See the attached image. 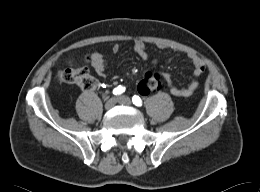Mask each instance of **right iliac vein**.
Returning a JSON list of instances; mask_svg holds the SVG:
<instances>
[{
  "instance_id": "63e3f726",
  "label": "right iliac vein",
  "mask_w": 260,
  "mask_h": 192,
  "mask_svg": "<svg viewBox=\"0 0 260 192\" xmlns=\"http://www.w3.org/2000/svg\"><path fill=\"white\" fill-rule=\"evenodd\" d=\"M117 99L116 98H110L106 103H105V109L110 110L116 105Z\"/></svg>"
}]
</instances>
